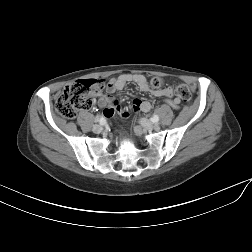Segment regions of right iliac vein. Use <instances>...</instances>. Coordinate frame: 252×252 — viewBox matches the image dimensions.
I'll list each match as a JSON object with an SVG mask.
<instances>
[{
	"label": "right iliac vein",
	"mask_w": 252,
	"mask_h": 252,
	"mask_svg": "<svg viewBox=\"0 0 252 252\" xmlns=\"http://www.w3.org/2000/svg\"><path fill=\"white\" fill-rule=\"evenodd\" d=\"M102 130H103V127L101 125H95L93 127V132L94 133H100V132H102Z\"/></svg>",
	"instance_id": "1"
}]
</instances>
